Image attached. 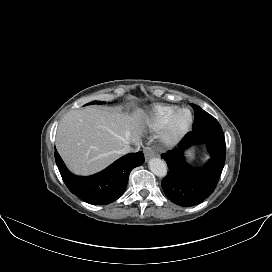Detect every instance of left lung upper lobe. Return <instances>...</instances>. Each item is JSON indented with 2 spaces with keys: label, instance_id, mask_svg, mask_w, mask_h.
<instances>
[{
  "label": "left lung upper lobe",
  "instance_id": "5c2ea615",
  "mask_svg": "<svg viewBox=\"0 0 272 272\" xmlns=\"http://www.w3.org/2000/svg\"><path fill=\"white\" fill-rule=\"evenodd\" d=\"M194 108L195 112V119H194V124H193V130L200 129L208 124H210L213 121H216V119L202 110L199 106L195 104H190Z\"/></svg>",
  "mask_w": 272,
  "mask_h": 272
}]
</instances>
